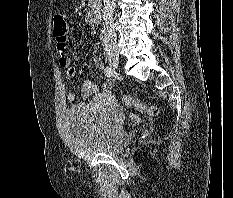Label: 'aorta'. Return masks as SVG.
Instances as JSON below:
<instances>
[{
    "instance_id": "762f6f07",
    "label": "aorta",
    "mask_w": 233,
    "mask_h": 198,
    "mask_svg": "<svg viewBox=\"0 0 233 198\" xmlns=\"http://www.w3.org/2000/svg\"><path fill=\"white\" fill-rule=\"evenodd\" d=\"M115 8V0H104L103 15L110 16L113 14Z\"/></svg>"
}]
</instances>
